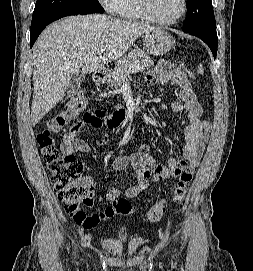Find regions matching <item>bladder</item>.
I'll return each mask as SVG.
<instances>
[{"label": "bladder", "instance_id": "obj_1", "mask_svg": "<svg viewBox=\"0 0 253 271\" xmlns=\"http://www.w3.org/2000/svg\"><path fill=\"white\" fill-rule=\"evenodd\" d=\"M128 238H129V233L127 231H118L108 239V243L114 244L117 242H124Z\"/></svg>", "mask_w": 253, "mask_h": 271}]
</instances>
